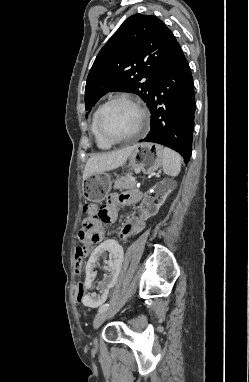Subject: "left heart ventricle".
<instances>
[{"label":"left heart ventricle","mask_w":249,"mask_h":382,"mask_svg":"<svg viewBox=\"0 0 249 382\" xmlns=\"http://www.w3.org/2000/svg\"><path fill=\"white\" fill-rule=\"evenodd\" d=\"M139 120V112L132 104L115 102L104 111L102 124L108 135L125 137L136 131Z\"/></svg>","instance_id":"b2bd125f"}]
</instances>
